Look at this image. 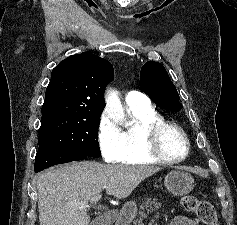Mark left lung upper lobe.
Here are the masks:
<instances>
[{
    "instance_id": "obj_1",
    "label": "left lung upper lobe",
    "mask_w": 237,
    "mask_h": 225,
    "mask_svg": "<svg viewBox=\"0 0 237 225\" xmlns=\"http://www.w3.org/2000/svg\"><path fill=\"white\" fill-rule=\"evenodd\" d=\"M140 87L159 107L173 112L181 110L177 89L162 64L145 63L140 72Z\"/></svg>"
}]
</instances>
